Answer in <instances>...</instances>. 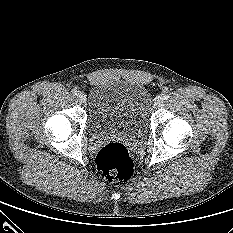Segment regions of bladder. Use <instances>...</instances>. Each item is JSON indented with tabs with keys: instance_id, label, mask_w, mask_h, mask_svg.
Returning <instances> with one entry per match:
<instances>
[{
	"instance_id": "bladder-1",
	"label": "bladder",
	"mask_w": 233,
	"mask_h": 233,
	"mask_svg": "<svg viewBox=\"0 0 233 233\" xmlns=\"http://www.w3.org/2000/svg\"><path fill=\"white\" fill-rule=\"evenodd\" d=\"M92 136L123 133L142 136L149 125L150 95L137 83L108 80L95 83L88 96Z\"/></svg>"
}]
</instances>
